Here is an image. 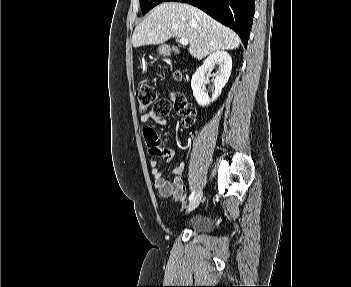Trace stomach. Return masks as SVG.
Wrapping results in <instances>:
<instances>
[{
  "label": "stomach",
  "mask_w": 351,
  "mask_h": 287,
  "mask_svg": "<svg viewBox=\"0 0 351 287\" xmlns=\"http://www.w3.org/2000/svg\"><path fill=\"white\" fill-rule=\"evenodd\" d=\"M159 51H160V53H163V49L162 48H160Z\"/></svg>",
  "instance_id": "stomach-1"
}]
</instances>
